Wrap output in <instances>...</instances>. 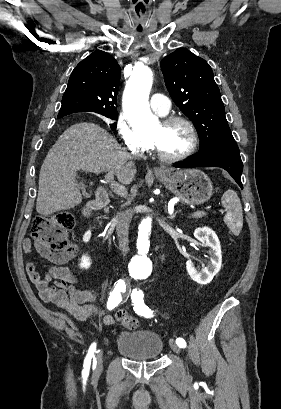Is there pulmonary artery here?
I'll return each instance as SVG.
<instances>
[{"label": "pulmonary artery", "mask_w": 281, "mask_h": 409, "mask_svg": "<svg viewBox=\"0 0 281 409\" xmlns=\"http://www.w3.org/2000/svg\"><path fill=\"white\" fill-rule=\"evenodd\" d=\"M147 104L150 106L151 111H155L159 115H165L168 112L171 99L170 97H163L161 90H156L154 97H149Z\"/></svg>", "instance_id": "1"}]
</instances>
